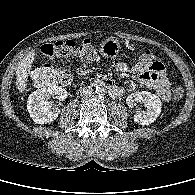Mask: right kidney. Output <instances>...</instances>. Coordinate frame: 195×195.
Masks as SVG:
<instances>
[{
	"label": "right kidney",
	"instance_id": "obj_1",
	"mask_svg": "<svg viewBox=\"0 0 195 195\" xmlns=\"http://www.w3.org/2000/svg\"><path fill=\"white\" fill-rule=\"evenodd\" d=\"M52 96H55L59 100H65L68 94L60 86H49L38 89L29 95L27 109L35 123L47 124L58 117L60 109L48 101Z\"/></svg>",
	"mask_w": 195,
	"mask_h": 195
}]
</instances>
